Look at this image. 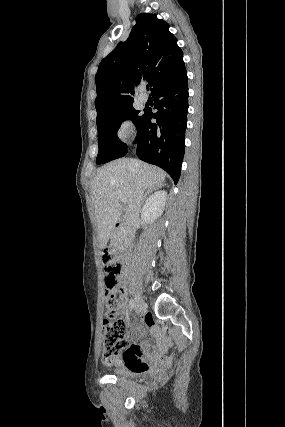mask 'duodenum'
I'll use <instances>...</instances> for the list:
<instances>
[{"mask_svg":"<svg viewBox=\"0 0 285 427\" xmlns=\"http://www.w3.org/2000/svg\"><path fill=\"white\" fill-rule=\"evenodd\" d=\"M132 227V219L120 217L114 220L112 223L113 230H122L123 232H129ZM132 249V243L130 240H127L126 252H129Z\"/></svg>","mask_w":285,"mask_h":427,"instance_id":"1","label":"duodenum"}]
</instances>
